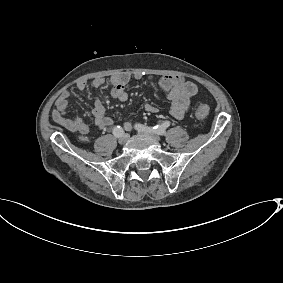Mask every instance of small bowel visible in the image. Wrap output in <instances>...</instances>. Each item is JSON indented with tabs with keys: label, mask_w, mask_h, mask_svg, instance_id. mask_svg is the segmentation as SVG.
Masks as SVG:
<instances>
[{
	"label": "small bowel",
	"mask_w": 283,
	"mask_h": 283,
	"mask_svg": "<svg viewBox=\"0 0 283 283\" xmlns=\"http://www.w3.org/2000/svg\"><path fill=\"white\" fill-rule=\"evenodd\" d=\"M146 76L142 73L131 75L127 72L114 74L110 77L111 95L119 101H126L128 94L126 87L131 80L142 81ZM155 80L160 90L167 92L168 99L170 100L169 113L175 119H182L190 106L191 98L197 94V85L185 78L177 75H164L160 77H148ZM105 79L98 77L92 81L94 88H100L104 85ZM86 80H80L76 84L79 91H83L87 87ZM70 93L65 90L59 96L55 103V108L52 111L53 120L66 129L78 132L80 139L87 141L89 139L90 128L86 122L79 117H71L67 114L69 105ZM144 110L148 113L158 112V108L147 103L144 105ZM92 115L94 117L95 125L103 130L113 125V119L105 114V107L100 100H96L93 104ZM126 131L132 130V125L129 121L124 122Z\"/></svg>",
	"instance_id": "small-bowel-1"
}]
</instances>
